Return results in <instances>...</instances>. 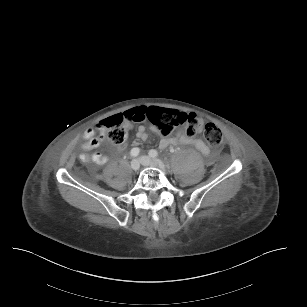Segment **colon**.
<instances>
[{
    "label": "colon",
    "instance_id": "obj_1",
    "mask_svg": "<svg viewBox=\"0 0 307 307\" xmlns=\"http://www.w3.org/2000/svg\"><path fill=\"white\" fill-rule=\"evenodd\" d=\"M148 106V104H147ZM128 116H142L163 136H169L175 129L182 133L193 135L202 130L203 137L209 146L220 149L222 146V134L219 128L213 123H202L191 113L175 110L161 109L160 111H133L130 108ZM128 116H115L111 119L102 120L98 128L102 136L109 142L120 145L127 138V130L123 123Z\"/></svg>",
    "mask_w": 307,
    "mask_h": 307
}]
</instances>
